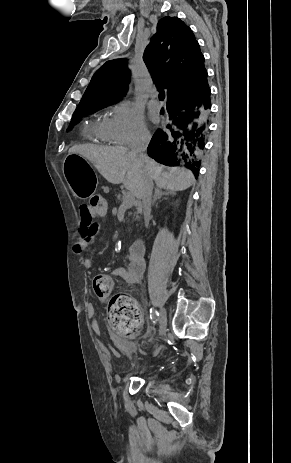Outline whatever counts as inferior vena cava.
I'll list each match as a JSON object with an SVG mask.
<instances>
[{"mask_svg":"<svg viewBox=\"0 0 291 463\" xmlns=\"http://www.w3.org/2000/svg\"><path fill=\"white\" fill-rule=\"evenodd\" d=\"M151 137L148 133H142L138 140L131 146L130 153L136 157L140 163L145 164V177L142 187L141 199L145 224L149 222L151 213V200L153 181L149 172L148 157L145 154Z\"/></svg>","mask_w":291,"mask_h":463,"instance_id":"602c4592","label":"inferior vena cava"}]
</instances>
